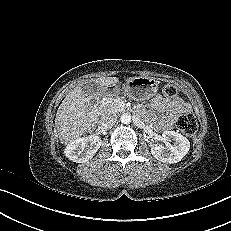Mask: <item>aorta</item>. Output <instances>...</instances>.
<instances>
[{"label":"aorta","mask_w":231,"mask_h":231,"mask_svg":"<svg viewBox=\"0 0 231 231\" xmlns=\"http://www.w3.org/2000/svg\"><path fill=\"white\" fill-rule=\"evenodd\" d=\"M120 120L123 124H130L131 123V116H130V114L124 113L121 115Z\"/></svg>","instance_id":"1"}]
</instances>
